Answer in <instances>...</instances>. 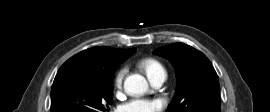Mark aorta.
Segmentation results:
<instances>
[{
    "instance_id": "obj_1",
    "label": "aorta",
    "mask_w": 270,
    "mask_h": 112,
    "mask_svg": "<svg viewBox=\"0 0 270 112\" xmlns=\"http://www.w3.org/2000/svg\"><path fill=\"white\" fill-rule=\"evenodd\" d=\"M124 90L129 95H142L148 90V82L142 75L132 74L125 79Z\"/></svg>"
}]
</instances>
